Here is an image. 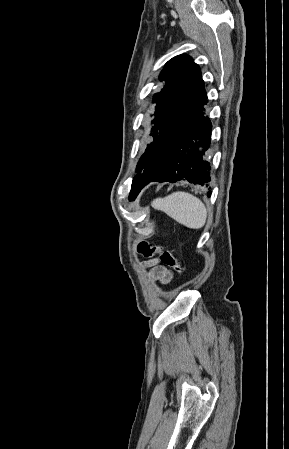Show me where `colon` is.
Returning <instances> with one entry per match:
<instances>
[{"mask_svg":"<svg viewBox=\"0 0 289 449\" xmlns=\"http://www.w3.org/2000/svg\"><path fill=\"white\" fill-rule=\"evenodd\" d=\"M137 251L144 257L158 255L159 260L167 267L173 269L176 273L182 274L184 272V267L169 250L163 249L160 246L152 245L146 241H142L138 244Z\"/></svg>","mask_w":289,"mask_h":449,"instance_id":"colon-1","label":"colon"}]
</instances>
